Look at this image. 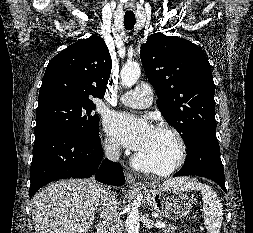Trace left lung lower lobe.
Returning <instances> with one entry per match:
<instances>
[{
  "mask_svg": "<svg viewBox=\"0 0 253 233\" xmlns=\"http://www.w3.org/2000/svg\"><path fill=\"white\" fill-rule=\"evenodd\" d=\"M186 175L209 178L226 192L220 147L215 136L201 134L187 147L185 163L173 177Z\"/></svg>",
  "mask_w": 253,
  "mask_h": 233,
  "instance_id": "0a47b994",
  "label": "left lung lower lobe"
}]
</instances>
